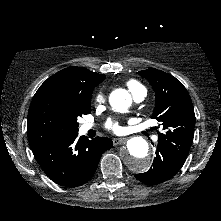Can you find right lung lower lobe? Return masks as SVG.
Returning <instances> with one entry per match:
<instances>
[{
    "label": "right lung lower lobe",
    "instance_id": "98d812e1",
    "mask_svg": "<svg viewBox=\"0 0 221 221\" xmlns=\"http://www.w3.org/2000/svg\"><path fill=\"white\" fill-rule=\"evenodd\" d=\"M78 132L30 144L39 165L55 183L78 187L95 173L102 153L113 146L109 138L88 140Z\"/></svg>",
    "mask_w": 221,
    "mask_h": 221
}]
</instances>
